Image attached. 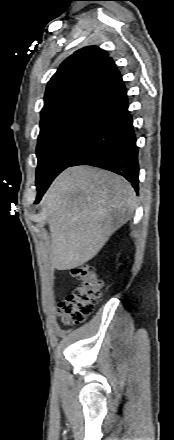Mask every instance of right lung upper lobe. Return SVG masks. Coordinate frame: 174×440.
Wrapping results in <instances>:
<instances>
[{
    "label": "right lung upper lobe",
    "mask_w": 174,
    "mask_h": 440,
    "mask_svg": "<svg viewBox=\"0 0 174 440\" xmlns=\"http://www.w3.org/2000/svg\"><path fill=\"white\" fill-rule=\"evenodd\" d=\"M106 51L88 46L68 57L47 84L41 118L81 98L99 95L121 81Z\"/></svg>",
    "instance_id": "cb5924a9"
}]
</instances>
